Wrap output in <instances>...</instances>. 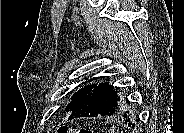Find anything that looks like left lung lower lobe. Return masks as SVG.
I'll list each match as a JSON object with an SVG mask.
<instances>
[{
  "instance_id": "obj_1",
  "label": "left lung lower lobe",
  "mask_w": 184,
  "mask_h": 133,
  "mask_svg": "<svg viewBox=\"0 0 184 133\" xmlns=\"http://www.w3.org/2000/svg\"><path fill=\"white\" fill-rule=\"evenodd\" d=\"M116 88V89H115ZM123 95L117 87L109 83L94 85L92 91L73 109L69 120L79 117L109 116L119 118L130 128H134L138 118L132 114L130 101L123 106Z\"/></svg>"
}]
</instances>
